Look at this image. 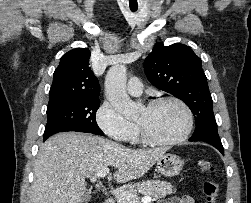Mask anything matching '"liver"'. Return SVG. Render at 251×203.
I'll return each instance as SVG.
<instances>
[{
    "label": "liver",
    "instance_id": "6515ba94",
    "mask_svg": "<svg viewBox=\"0 0 251 203\" xmlns=\"http://www.w3.org/2000/svg\"><path fill=\"white\" fill-rule=\"evenodd\" d=\"M166 151L130 149L91 134L58 133L38 152L31 203H80L85 179L100 169L116 168L114 179L126 183L142 177Z\"/></svg>",
    "mask_w": 251,
    "mask_h": 203
}]
</instances>
